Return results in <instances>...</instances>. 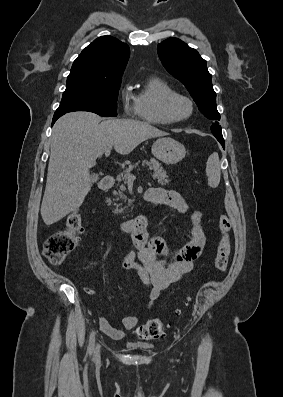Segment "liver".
I'll return each instance as SVG.
<instances>
[{
	"label": "liver",
	"instance_id": "1",
	"mask_svg": "<svg viewBox=\"0 0 283 397\" xmlns=\"http://www.w3.org/2000/svg\"><path fill=\"white\" fill-rule=\"evenodd\" d=\"M167 135L147 122L131 119L103 120L77 111L65 114L54 125L41 215L52 225L79 208L93 179L89 174L96 159L114 147L127 155L140 143Z\"/></svg>",
	"mask_w": 283,
	"mask_h": 397
}]
</instances>
